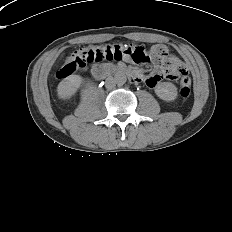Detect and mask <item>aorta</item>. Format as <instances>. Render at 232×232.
<instances>
[{"label": "aorta", "mask_w": 232, "mask_h": 232, "mask_svg": "<svg viewBox=\"0 0 232 232\" xmlns=\"http://www.w3.org/2000/svg\"><path fill=\"white\" fill-rule=\"evenodd\" d=\"M114 81L119 86L124 85L127 81L126 75L124 73H117L114 76Z\"/></svg>", "instance_id": "obj_1"}]
</instances>
